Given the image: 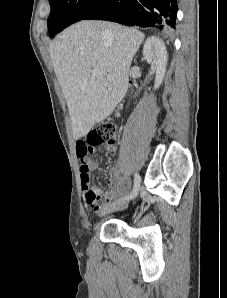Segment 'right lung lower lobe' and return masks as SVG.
Listing matches in <instances>:
<instances>
[{
	"instance_id": "1",
	"label": "right lung lower lobe",
	"mask_w": 227,
	"mask_h": 298,
	"mask_svg": "<svg viewBox=\"0 0 227 298\" xmlns=\"http://www.w3.org/2000/svg\"><path fill=\"white\" fill-rule=\"evenodd\" d=\"M176 15L177 0H105L84 19L167 30L175 28Z\"/></svg>"
}]
</instances>
